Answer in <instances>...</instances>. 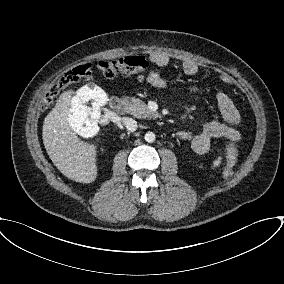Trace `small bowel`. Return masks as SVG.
I'll list each match as a JSON object with an SVG mask.
<instances>
[{
	"label": "small bowel",
	"mask_w": 284,
	"mask_h": 284,
	"mask_svg": "<svg viewBox=\"0 0 284 284\" xmlns=\"http://www.w3.org/2000/svg\"><path fill=\"white\" fill-rule=\"evenodd\" d=\"M150 60L154 67L147 74H140L138 80L139 82L146 81L156 88H163L166 82L161 76L160 69L167 66L171 58L164 52L155 51L150 54ZM182 69L190 76L198 75L201 72L200 64L193 60H184ZM221 80L227 85L231 84V79L227 76H222ZM215 99L225 123H220L216 116H212L198 134H192L188 131L178 133L179 138L189 141L193 152L199 155L207 154L210 151L211 141L214 139L233 138L237 143L241 140V135L238 131L241 118L235 104L222 91L216 93Z\"/></svg>",
	"instance_id": "1"
}]
</instances>
